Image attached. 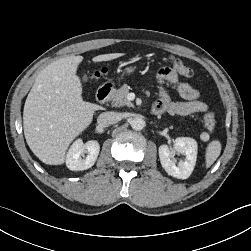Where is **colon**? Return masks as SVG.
<instances>
[{
	"label": "colon",
	"instance_id": "5ec220e1",
	"mask_svg": "<svg viewBox=\"0 0 251 251\" xmlns=\"http://www.w3.org/2000/svg\"><path fill=\"white\" fill-rule=\"evenodd\" d=\"M168 63H169V66L172 70H174L176 73H178L182 76L190 77L193 74V70L178 58H175L173 56H169ZM105 73H106V70L101 69V70L96 71L94 73L85 75V78L100 77L101 75H103ZM204 121H205V126H206L207 130L209 132H213L216 127V119H215L214 114L212 112L207 113L204 117Z\"/></svg>",
	"mask_w": 251,
	"mask_h": 251
}]
</instances>
